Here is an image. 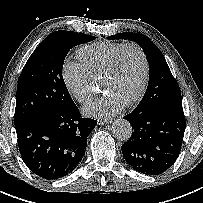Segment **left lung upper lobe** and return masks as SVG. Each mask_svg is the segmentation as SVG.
I'll use <instances>...</instances> for the list:
<instances>
[{
  "instance_id": "left-lung-upper-lobe-1",
  "label": "left lung upper lobe",
  "mask_w": 203,
  "mask_h": 203,
  "mask_svg": "<svg viewBox=\"0 0 203 203\" xmlns=\"http://www.w3.org/2000/svg\"><path fill=\"white\" fill-rule=\"evenodd\" d=\"M109 39L135 41L144 51L149 63V82L146 92L136 107L140 111H151L167 107H182L180 88L159 48L145 35L125 32Z\"/></svg>"
}]
</instances>
